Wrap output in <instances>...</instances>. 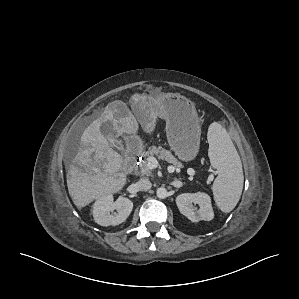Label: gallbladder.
Wrapping results in <instances>:
<instances>
[{
	"label": "gallbladder",
	"instance_id": "bac80fb5",
	"mask_svg": "<svg viewBox=\"0 0 299 299\" xmlns=\"http://www.w3.org/2000/svg\"><path fill=\"white\" fill-rule=\"evenodd\" d=\"M101 133L105 136L108 137L111 144L116 147L118 150H123V145L121 141H118L115 139V131L113 129V124L111 122H105L102 124L101 128Z\"/></svg>",
	"mask_w": 299,
	"mask_h": 299
}]
</instances>
